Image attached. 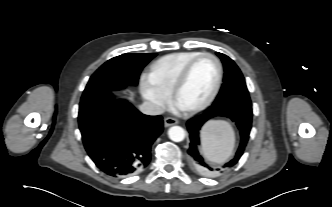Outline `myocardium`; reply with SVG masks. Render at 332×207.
<instances>
[{"label": "myocardium", "mask_w": 332, "mask_h": 207, "mask_svg": "<svg viewBox=\"0 0 332 207\" xmlns=\"http://www.w3.org/2000/svg\"><path fill=\"white\" fill-rule=\"evenodd\" d=\"M203 57H209V58L213 59L216 64L217 77H216L215 85H214L211 93L209 94V96L202 103H200L194 107H191V108H186V109L180 108L178 106V102H177L179 93L181 92L183 86L185 85L194 64ZM222 79H223V67H222V64H221L219 58L212 53L202 52V53L198 54L197 56L193 57L190 61H188L187 64L180 71V73L172 87V91H171L172 102L175 106L180 108L186 114H195V113L201 112V111L205 110L207 107H209L212 104V102L215 100L216 96L219 93V90H220V87L222 84Z\"/></svg>", "instance_id": "f54148a6"}]
</instances>
